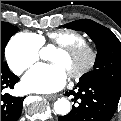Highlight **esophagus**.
Wrapping results in <instances>:
<instances>
[{"mask_svg":"<svg viewBox=\"0 0 121 121\" xmlns=\"http://www.w3.org/2000/svg\"><path fill=\"white\" fill-rule=\"evenodd\" d=\"M45 97L49 100H53V99H56L58 97L57 94H52V95H45Z\"/></svg>","mask_w":121,"mask_h":121,"instance_id":"esophagus-1","label":"esophagus"}]
</instances>
